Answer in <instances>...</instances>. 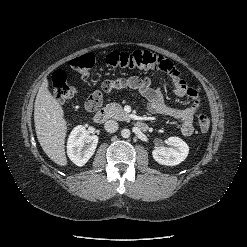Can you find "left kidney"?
Returning a JSON list of instances; mask_svg holds the SVG:
<instances>
[{
	"instance_id": "1",
	"label": "left kidney",
	"mask_w": 247,
	"mask_h": 247,
	"mask_svg": "<svg viewBox=\"0 0 247 247\" xmlns=\"http://www.w3.org/2000/svg\"><path fill=\"white\" fill-rule=\"evenodd\" d=\"M172 148L156 147L152 151V156L159 164L175 166L186 159L189 153V146L179 137H169L166 140Z\"/></svg>"
}]
</instances>
